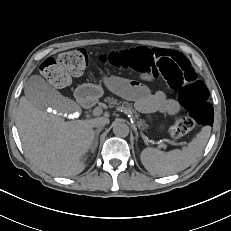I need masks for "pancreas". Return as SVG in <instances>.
<instances>
[{
  "label": "pancreas",
  "instance_id": "cf45deb5",
  "mask_svg": "<svg viewBox=\"0 0 231 231\" xmlns=\"http://www.w3.org/2000/svg\"><path fill=\"white\" fill-rule=\"evenodd\" d=\"M105 102L108 103L109 107H117L118 109H126L127 112L131 113L133 117L137 120V124L140 129L146 130L148 129V125L146 124L145 120L140 118V114L133 108L132 104L126 101H120L115 99L114 97H107Z\"/></svg>",
  "mask_w": 231,
  "mask_h": 231
}]
</instances>
